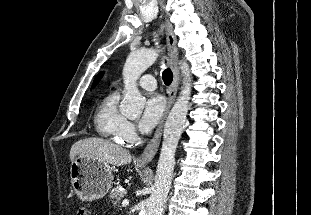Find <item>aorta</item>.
Wrapping results in <instances>:
<instances>
[{"label":"aorta","mask_w":311,"mask_h":215,"mask_svg":"<svg viewBox=\"0 0 311 215\" xmlns=\"http://www.w3.org/2000/svg\"><path fill=\"white\" fill-rule=\"evenodd\" d=\"M157 56L154 49L137 50L130 53L124 64L125 96L120 111L128 118H136L142 113L145 99L141 96L136 81L156 61ZM181 71L184 77L183 87L164 126L161 153L146 215H161L171 186L175 152L187 118L191 95V75L186 62L181 63Z\"/></svg>","instance_id":"762f6f07"}]
</instances>
